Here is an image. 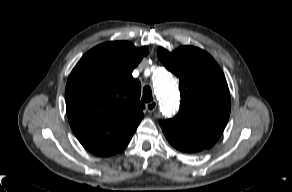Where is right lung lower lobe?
I'll return each instance as SVG.
<instances>
[{"label": "right lung lower lobe", "mask_w": 292, "mask_h": 192, "mask_svg": "<svg viewBox=\"0 0 292 192\" xmlns=\"http://www.w3.org/2000/svg\"><path fill=\"white\" fill-rule=\"evenodd\" d=\"M128 143L129 142L112 149H99V150H89V151L98 156H110L123 150L128 145Z\"/></svg>", "instance_id": "98d812e1"}]
</instances>
